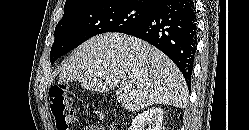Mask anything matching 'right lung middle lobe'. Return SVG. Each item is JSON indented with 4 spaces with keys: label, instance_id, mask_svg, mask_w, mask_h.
Segmentation results:
<instances>
[{
    "label": "right lung middle lobe",
    "instance_id": "dd1d6c3e",
    "mask_svg": "<svg viewBox=\"0 0 249 130\" xmlns=\"http://www.w3.org/2000/svg\"><path fill=\"white\" fill-rule=\"evenodd\" d=\"M152 11L131 0H107L65 11L55 28L51 64L89 38L105 32H120L145 20Z\"/></svg>",
    "mask_w": 249,
    "mask_h": 130
}]
</instances>
